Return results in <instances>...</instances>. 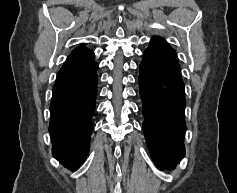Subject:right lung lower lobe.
I'll list each match as a JSON object with an SVG mask.
<instances>
[{
    "label": "right lung lower lobe",
    "mask_w": 237,
    "mask_h": 193,
    "mask_svg": "<svg viewBox=\"0 0 237 193\" xmlns=\"http://www.w3.org/2000/svg\"><path fill=\"white\" fill-rule=\"evenodd\" d=\"M97 68L91 50L75 49L59 70L53 88L49 125L52 153L73 171L82 165L89 152Z\"/></svg>",
    "instance_id": "right-lung-lower-lobe-1"
}]
</instances>
